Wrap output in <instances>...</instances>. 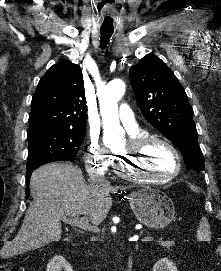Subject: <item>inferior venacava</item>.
<instances>
[{
    "mask_svg": "<svg viewBox=\"0 0 221 271\" xmlns=\"http://www.w3.org/2000/svg\"><path fill=\"white\" fill-rule=\"evenodd\" d=\"M105 181L106 179H103V177H98V179H94V183H97V187H99V191H101V193H104L105 191V187H103ZM103 197H105V195H103Z\"/></svg>",
    "mask_w": 221,
    "mask_h": 271,
    "instance_id": "obj_1",
    "label": "inferior vena cava"
}]
</instances>
